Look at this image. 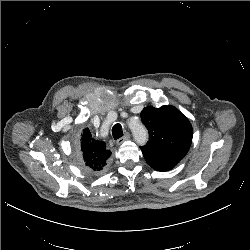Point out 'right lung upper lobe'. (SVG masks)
Masks as SVG:
<instances>
[{"instance_id":"cb5924a9","label":"right lung upper lobe","mask_w":250,"mask_h":250,"mask_svg":"<svg viewBox=\"0 0 250 250\" xmlns=\"http://www.w3.org/2000/svg\"><path fill=\"white\" fill-rule=\"evenodd\" d=\"M78 153L83 165L93 170H103L111 156V151L106 148L105 143L92 138L88 128L81 133Z\"/></svg>"}]
</instances>
